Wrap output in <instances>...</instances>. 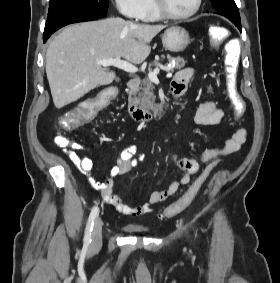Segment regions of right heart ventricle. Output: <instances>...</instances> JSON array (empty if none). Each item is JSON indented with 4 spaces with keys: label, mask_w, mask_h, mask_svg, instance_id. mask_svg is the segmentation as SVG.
<instances>
[{
    "label": "right heart ventricle",
    "mask_w": 280,
    "mask_h": 283,
    "mask_svg": "<svg viewBox=\"0 0 280 283\" xmlns=\"http://www.w3.org/2000/svg\"><path fill=\"white\" fill-rule=\"evenodd\" d=\"M142 19L146 22H154L160 19V17L157 15V13L154 10L152 0H147L146 11Z\"/></svg>",
    "instance_id": "obj_1"
}]
</instances>
